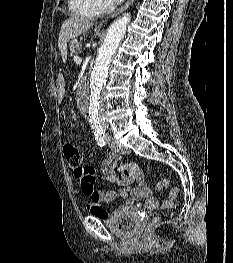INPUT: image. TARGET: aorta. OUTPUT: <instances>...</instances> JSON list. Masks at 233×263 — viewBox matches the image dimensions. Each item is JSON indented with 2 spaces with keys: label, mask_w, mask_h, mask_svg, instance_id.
<instances>
[{
  "label": "aorta",
  "mask_w": 233,
  "mask_h": 263,
  "mask_svg": "<svg viewBox=\"0 0 233 263\" xmlns=\"http://www.w3.org/2000/svg\"><path fill=\"white\" fill-rule=\"evenodd\" d=\"M129 21L130 14H125L110 25L105 41L98 51L90 79L80 92V107L87 114L93 127H98L103 123L104 86L108 76V67L126 33Z\"/></svg>",
  "instance_id": "762f6f07"
}]
</instances>
